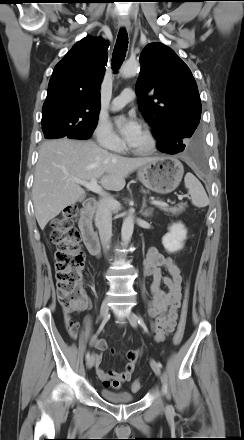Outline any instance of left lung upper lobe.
I'll list each match as a JSON object with an SVG mask.
<instances>
[{
    "label": "left lung upper lobe",
    "instance_id": "obj_1",
    "mask_svg": "<svg viewBox=\"0 0 244 440\" xmlns=\"http://www.w3.org/2000/svg\"><path fill=\"white\" fill-rule=\"evenodd\" d=\"M136 94L157 147L170 153L185 148L200 122L201 101L195 79L176 53L161 43L148 44L140 55Z\"/></svg>",
    "mask_w": 244,
    "mask_h": 440
}]
</instances>
